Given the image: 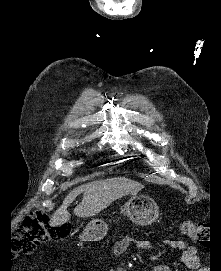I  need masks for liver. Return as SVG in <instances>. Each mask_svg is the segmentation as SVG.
<instances>
[{"label": "liver", "instance_id": "obj_1", "mask_svg": "<svg viewBox=\"0 0 221 271\" xmlns=\"http://www.w3.org/2000/svg\"><path fill=\"white\" fill-rule=\"evenodd\" d=\"M118 187L120 183L118 177L114 179H102V181H92V183H86V185H79L77 189L71 191L67 197H65L61 207L56 209L54 215L51 217L50 225L55 227V225H62L65 221H69L70 213L67 209L77 193H84L83 199L79 205H76L74 213L79 215V217H91V215H96L100 213L102 209L108 207L114 199L122 197L125 191L120 193Z\"/></svg>", "mask_w": 221, "mask_h": 271}]
</instances>
